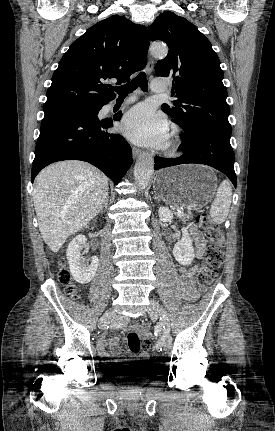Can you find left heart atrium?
<instances>
[{
	"label": "left heart atrium",
	"instance_id": "1",
	"mask_svg": "<svg viewBox=\"0 0 275 431\" xmlns=\"http://www.w3.org/2000/svg\"><path fill=\"white\" fill-rule=\"evenodd\" d=\"M121 131L132 142L144 146L164 147L169 138L165 117L147 104L138 105L125 114Z\"/></svg>",
	"mask_w": 275,
	"mask_h": 431
}]
</instances>
